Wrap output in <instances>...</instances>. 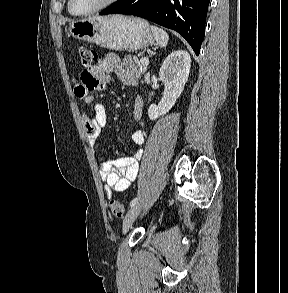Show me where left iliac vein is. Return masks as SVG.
Here are the masks:
<instances>
[{"label": "left iliac vein", "mask_w": 288, "mask_h": 293, "mask_svg": "<svg viewBox=\"0 0 288 293\" xmlns=\"http://www.w3.org/2000/svg\"><path fill=\"white\" fill-rule=\"evenodd\" d=\"M144 208V203H137L134 206L131 207V209L128 211L124 222H123V232H127L132 223L135 221V219L138 217L142 209Z\"/></svg>", "instance_id": "obj_1"}]
</instances>
